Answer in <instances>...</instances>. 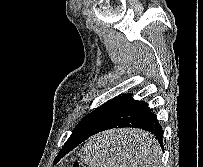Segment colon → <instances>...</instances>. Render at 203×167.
Segmentation results:
<instances>
[{"label": "colon", "instance_id": "5ec220e1", "mask_svg": "<svg viewBox=\"0 0 203 167\" xmlns=\"http://www.w3.org/2000/svg\"><path fill=\"white\" fill-rule=\"evenodd\" d=\"M72 167H85V166H83L81 163H79V162H74L73 164H72Z\"/></svg>", "mask_w": 203, "mask_h": 167}]
</instances>
